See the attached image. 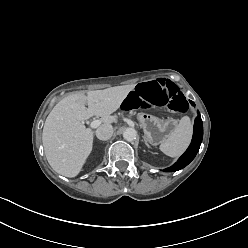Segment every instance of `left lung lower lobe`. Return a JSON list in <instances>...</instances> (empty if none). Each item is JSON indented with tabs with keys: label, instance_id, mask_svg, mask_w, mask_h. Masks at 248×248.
<instances>
[{
	"label": "left lung lower lobe",
	"instance_id": "left-lung-lower-lobe-1",
	"mask_svg": "<svg viewBox=\"0 0 248 248\" xmlns=\"http://www.w3.org/2000/svg\"><path fill=\"white\" fill-rule=\"evenodd\" d=\"M191 105L195 106L193 101H190ZM203 138V124L200 114L195 119L194 123V133L190 146L186 152L179 158V160L171 167L165 169V172L178 171L185 166H187L196 156L199 151L201 142Z\"/></svg>",
	"mask_w": 248,
	"mask_h": 248
}]
</instances>
